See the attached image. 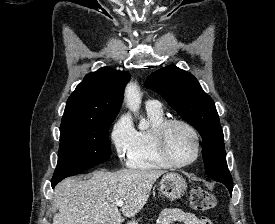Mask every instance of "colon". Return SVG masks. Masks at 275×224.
Segmentation results:
<instances>
[{
  "label": "colon",
  "instance_id": "1",
  "mask_svg": "<svg viewBox=\"0 0 275 224\" xmlns=\"http://www.w3.org/2000/svg\"><path fill=\"white\" fill-rule=\"evenodd\" d=\"M189 196L192 208L198 211L210 210L216 204L215 196L199 186H193Z\"/></svg>",
  "mask_w": 275,
  "mask_h": 224
}]
</instances>
